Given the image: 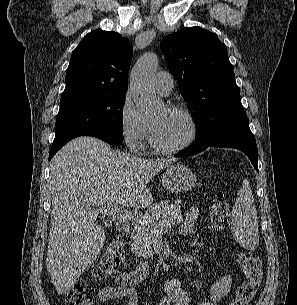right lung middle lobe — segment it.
<instances>
[{
  "label": "right lung middle lobe",
  "mask_w": 297,
  "mask_h": 305,
  "mask_svg": "<svg viewBox=\"0 0 297 305\" xmlns=\"http://www.w3.org/2000/svg\"><path fill=\"white\" fill-rule=\"evenodd\" d=\"M125 93L90 94L60 100L52 148L92 133L123 134Z\"/></svg>",
  "instance_id": "right-lung-middle-lobe-1"
}]
</instances>
